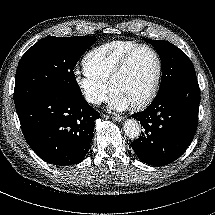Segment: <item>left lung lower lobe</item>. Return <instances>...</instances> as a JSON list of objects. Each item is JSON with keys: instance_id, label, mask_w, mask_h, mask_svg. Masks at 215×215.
I'll list each match as a JSON object with an SVG mask.
<instances>
[{"instance_id": "1", "label": "left lung lower lobe", "mask_w": 215, "mask_h": 215, "mask_svg": "<svg viewBox=\"0 0 215 215\" xmlns=\"http://www.w3.org/2000/svg\"><path fill=\"white\" fill-rule=\"evenodd\" d=\"M199 103L197 78L190 77L159 92L145 111L133 114L145 129L131 143L137 157L153 166L179 158L195 135Z\"/></svg>"}]
</instances>
